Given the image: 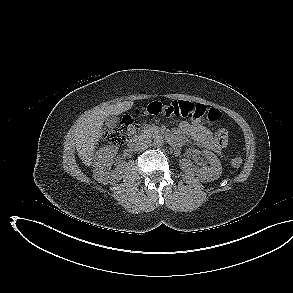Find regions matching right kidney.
<instances>
[{"label":"right kidney","mask_w":293,"mask_h":293,"mask_svg":"<svg viewBox=\"0 0 293 293\" xmlns=\"http://www.w3.org/2000/svg\"><path fill=\"white\" fill-rule=\"evenodd\" d=\"M117 147L113 145H107L100 148L95 155L93 163V177L99 183L111 184L118 181L121 178L123 170L125 168L124 161H114L117 154ZM115 163L116 167L111 169V166Z\"/></svg>","instance_id":"ca27d5eb"}]
</instances>
